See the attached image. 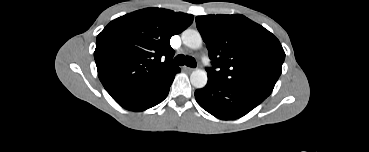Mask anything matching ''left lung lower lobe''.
I'll return each mask as SVG.
<instances>
[{
    "label": "left lung lower lobe",
    "mask_w": 369,
    "mask_h": 152,
    "mask_svg": "<svg viewBox=\"0 0 369 152\" xmlns=\"http://www.w3.org/2000/svg\"><path fill=\"white\" fill-rule=\"evenodd\" d=\"M268 97L263 92L225 84L208 75V83L195 91L197 103L213 116L223 120L238 119Z\"/></svg>",
    "instance_id": "left-lung-lower-lobe-1"
}]
</instances>
